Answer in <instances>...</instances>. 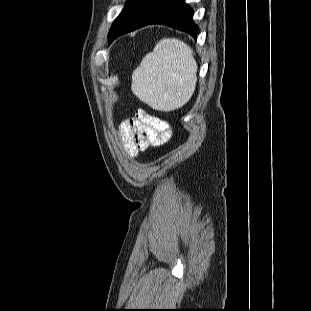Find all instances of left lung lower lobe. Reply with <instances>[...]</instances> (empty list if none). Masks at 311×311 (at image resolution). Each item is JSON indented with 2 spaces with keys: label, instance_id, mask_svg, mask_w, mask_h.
<instances>
[{
  "label": "left lung lower lobe",
  "instance_id": "1",
  "mask_svg": "<svg viewBox=\"0 0 311 311\" xmlns=\"http://www.w3.org/2000/svg\"><path fill=\"white\" fill-rule=\"evenodd\" d=\"M192 17L193 10L185 0H129L113 23L109 44L124 33L152 24L166 25L196 38L198 26L192 23Z\"/></svg>",
  "mask_w": 311,
  "mask_h": 311
}]
</instances>
